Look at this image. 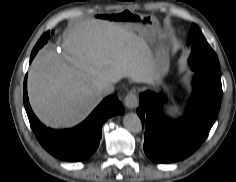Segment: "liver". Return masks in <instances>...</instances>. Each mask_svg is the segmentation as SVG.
<instances>
[{"mask_svg": "<svg viewBox=\"0 0 236 182\" xmlns=\"http://www.w3.org/2000/svg\"><path fill=\"white\" fill-rule=\"evenodd\" d=\"M65 59L40 50L28 74L32 109L47 126L71 127L101 102L100 88L130 78L150 83L155 61L146 42L118 23L94 19L73 25L64 34Z\"/></svg>", "mask_w": 236, "mask_h": 182, "instance_id": "obj_1", "label": "liver"}]
</instances>
